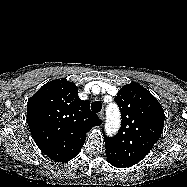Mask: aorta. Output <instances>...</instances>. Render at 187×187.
<instances>
[{
	"label": "aorta",
	"instance_id": "1",
	"mask_svg": "<svg viewBox=\"0 0 187 187\" xmlns=\"http://www.w3.org/2000/svg\"><path fill=\"white\" fill-rule=\"evenodd\" d=\"M106 116V133L113 135L120 128V112L116 104H110L106 108Z\"/></svg>",
	"mask_w": 187,
	"mask_h": 187
}]
</instances>
